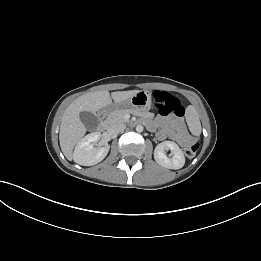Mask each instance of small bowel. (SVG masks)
I'll return each instance as SVG.
<instances>
[{
	"mask_svg": "<svg viewBox=\"0 0 261 261\" xmlns=\"http://www.w3.org/2000/svg\"><path fill=\"white\" fill-rule=\"evenodd\" d=\"M147 125L154 128L160 125L157 132V138L164 140L170 138L181 146H186L194 141V138L188 133L184 123L181 120L173 118H159L156 121L147 120Z\"/></svg>",
	"mask_w": 261,
	"mask_h": 261,
	"instance_id": "small-bowel-1",
	"label": "small bowel"
}]
</instances>
